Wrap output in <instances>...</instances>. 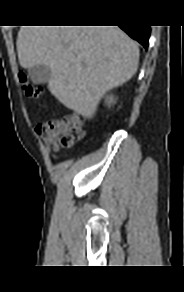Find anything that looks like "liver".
<instances>
[{"label":"liver","mask_w":184,"mask_h":292,"mask_svg":"<svg viewBox=\"0 0 184 292\" xmlns=\"http://www.w3.org/2000/svg\"><path fill=\"white\" fill-rule=\"evenodd\" d=\"M20 65L50 68L48 89L65 107L92 118L103 95L137 71L139 48L118 26H22Z\"/></svg>","instance_id":"6515ba94"}]
</instances>
